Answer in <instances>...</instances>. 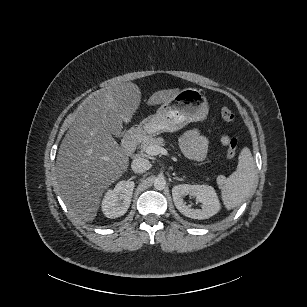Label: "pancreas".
Returning a JSON list of instances; mask_svg holds the SVG:
<instances>
[{
	"label": "pancreas",
	"mask_w": 307,
	"mask_h": 307,
	"mask_svg": "<svg viewBox=\"0 0 307 307\" xmlns=\"http://www.w3.org/2000/svg\"><path fill=\"white\" fill-rule=\"evenodd\" d=\"M138 145L140 146L143 152L148 154V149L150 148V146L162 145V139L158 136L155 137L146 136L142 141L138 142Z\"/></svg>",
	"instance_id": "cf45deb5"
}]
</instances>
